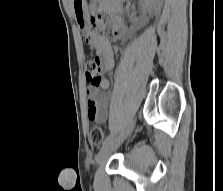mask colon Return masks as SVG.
<instances>
[{
	"mask_svg": "<svg viewBox=\"0 0 223 191\" xmlns=\"http://www.w3.org/2000/svg\"><path fill=\"white\" fill-rule=\"evenodd\" d=\"M86 80L92 86H99L102 82L100 74V61L98 58H90L85 61ZM90 143L93 147H99L104 139V131L99 126H94L89 134Z\"/></svg>",
	"mask_w": 223,
	"mask_h": 191,
	"instance_id": "1",
	"label": "colon"
}]
</instances>
